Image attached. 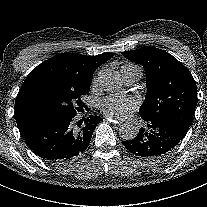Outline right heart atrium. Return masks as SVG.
<instances>
[{
	"instance_id": "d8ad5b80",
	"label": "right heart atrium",
	"mask_w": 207,
	"mask_h": 207,
	"mask_svg": "<svg viewBox=\"0 0 207 207\" xmlns=\"http://www.w3.org/2000/svg\"><path fill=\"white\" fill-rule=\"evenodd\" d=\"M99 85V76L96 75L94 78H93V86L94 87H97Z\"/></svg>"
}]
</instances>
